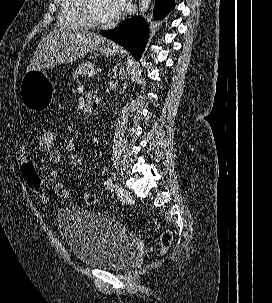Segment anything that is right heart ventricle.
<instances>
[{
    "mask_svg": "<svg viewBox=\"0 0 272 303\" xmlns=\"http://www.w3.org/2000/svg\"><path fill=\"white\" fill-rule=\"evenodd\" d=\"M81 0H61L58 24L64 28H85L87 25L79 11Z\"/></svg>",
    "mask_w": 272,
    "mask_h": 303,
    "instance_id": "obj_1",
    "label": "right heart ventricle"
}]
</instances>
